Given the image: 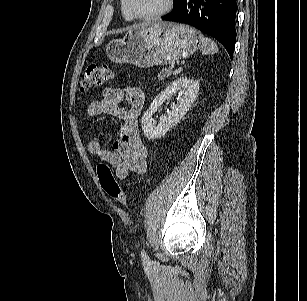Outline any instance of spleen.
<instances>
[{
	"label": "spleen",
	"mask_w": 307,
	"mask_h": 301,
	"mask_svg": "<svg viewBox=\"0 0 307 301\" xmlns=\"http://www.w3.org/2000/svg\"><path fill=\"white\" fill-rule=\"evenodd\" d=\"M201 49H202V53L207 55V54H214V53H217L218 52V47L216 45V43L205 37V38H202V46H201Z\"/></svg>",
	"instance_id": "3e777b00"
}]
</instances>
